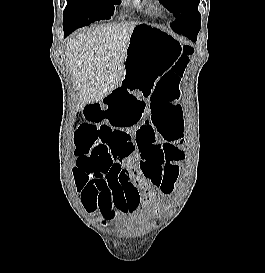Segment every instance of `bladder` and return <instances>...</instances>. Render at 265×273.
<instances>
[{
	"label": "bladder",
	"mask_w": 265,
	"mask_h": 273,
	"mask_svg": "<svg viewBox=\"0 0 265 273\" xmlns=\"http://www.w3.org/2000/svg\"><path fill=\"white\" fill-rule=\"evenodd\" d=\"M131 220L128 224L129 231H141L150 227L151 219L145 215L144 213L138 211H134L131 213Z\"/></svg>",
	"instance_id": "1"
}]
</instances>
